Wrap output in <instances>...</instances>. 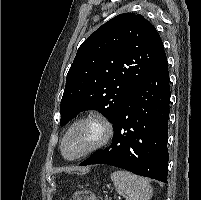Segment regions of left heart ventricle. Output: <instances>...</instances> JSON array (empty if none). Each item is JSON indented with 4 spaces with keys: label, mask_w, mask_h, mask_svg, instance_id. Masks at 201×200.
<instances>
[{
    "label": "left heart ventricle",
    "mask_w": 201,
    "mask_h": 200,
    "mask_svg": "<svg viewBox=\"0 0 201 200\" xmlns=\"http://www.w3.org/2000/svg\"><path fill=\"white\" fill-rule=\"evenodd\" d=\"M99 135V128L93 124H82L77 126L69 134L66 140V156L72 158L81 154L94 144Z\"/></svg>",
    "instance_id": "obj_1"
}]
</instances>
